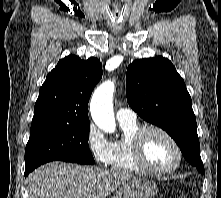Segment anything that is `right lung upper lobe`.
Wrapping results in <instances>:
<instances>
[{
	"label": "right lung upper lobe",
	"instance_id": "right-lung-upper-lobe-1",
	"mask_svg": "<svg viewBox=\"0 0 221 198\" xmlns=\"http://www.w3.org/2000/svg\"><path fill=\"white\" fill-rule=\"evenodd\" d=\"M101 77L102 66L97 58L84 60L69 55L61 59L40 88L32 124L89 123V98Z\"/></svg>",
	"mask_w": 221,
	"mask_h": 198
}]
</instances>
